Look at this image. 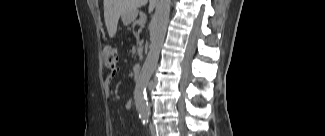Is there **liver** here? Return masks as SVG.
Here are the masks:
<instances>
[{
    "label": "liver",
    "mask_w": 325,
    "mask_h": 136,
    "mask_svg": "<svg viewBox=\"0 0 325 136\" xmlns=\"http://www.w3.org/2000/svg\"><path fill=\"white\" fill-rule=\"evenodd\" d=\"M148 0H104V20L109 37H114L120 16L135 12L138 7L145 5ZM154 1H150L149 9L152 10Z\"/></svg>",
    "instance_id": "6515ba94"
}]
</instances>
